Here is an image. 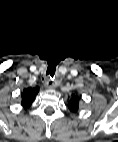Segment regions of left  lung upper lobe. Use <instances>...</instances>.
Masks as SVG:
<instances>
[{"label":"left lung upper lobe","instance_id":"obj_1","mask_svg":"<svg viewBox=\"0 0 118 142\" xmlns=\"http://www.w3.org/2000/svg\"><path fill=\"white\" fill-rule=\"evenodd\" d=\"M79 100H80V98L78 97L77 94H72V96L69 100L68 107L74 113H76L79 109Z\"/></svg>","mask_w":118,"mask_h":142}]
</instances>
